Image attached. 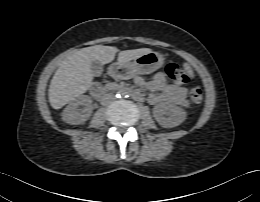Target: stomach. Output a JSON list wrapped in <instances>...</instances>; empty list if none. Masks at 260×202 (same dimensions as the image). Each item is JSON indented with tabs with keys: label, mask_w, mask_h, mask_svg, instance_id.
Segmentation results:
<instances>
[{
	"label": "stomach",
	"mask_w": 260,
	"mask_h": 202,
	"mask_svg": "<svg viewBox=\"0 0 260 202\" xmlns=\"http://www.w3.org/2000/svg\"><path fill=\"white\" fill-rule=\"evenodd\" d=\"M164 58L157 52L145 53L132 62H118L113 66V76L118 79H130L136 74H149L159 69Z\"/></svg>",
	"instance_id": "1"
}]
</instances>
